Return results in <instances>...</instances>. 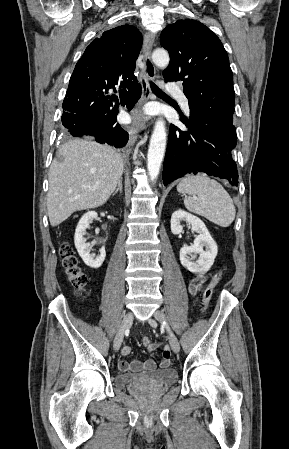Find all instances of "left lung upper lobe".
<instances>
[{"label":"left lung upper lobe","instance_id":"1","mask_svg":"<svg viewBox=\"0 0 289 449\" xmlns=\"http://www.w3.org/2000/svg\"><path fill=\"white\" fill-rule=\"evenodd\" d=\"M160 44L170 55L163 76L183 81L189 107L233 123V73L219 38L196 20H178L162 31Z\"/></svg>","mask_w":289,"mask_h":449}]
</instances>
